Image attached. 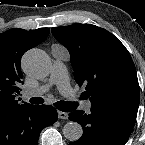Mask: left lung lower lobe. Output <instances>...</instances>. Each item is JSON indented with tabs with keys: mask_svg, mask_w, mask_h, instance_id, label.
I'll list each match as a JSON object with an SVG mask.
<instances>
[{
	"mask_svg": "<svg viewBox=\"0 0 145 145\" xmlns=\"http://www.w3.org/2000/svg\"><path fill=\"white\" fill-rule=\"evenodd\" d=\"M137 111L138 107L127 105L92 106L89 114L73 111L69 119L82 126L83 135L69 145H125Z\"/></svg>",
	"mask_w": 145,
	"mask_h": 145,
	"instance_id": "obj_1",
	"label": "left lung lower lobe"
}]
</instances>
